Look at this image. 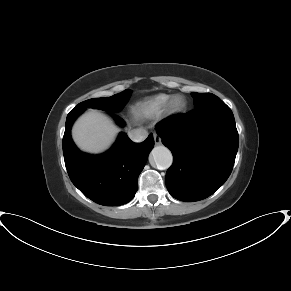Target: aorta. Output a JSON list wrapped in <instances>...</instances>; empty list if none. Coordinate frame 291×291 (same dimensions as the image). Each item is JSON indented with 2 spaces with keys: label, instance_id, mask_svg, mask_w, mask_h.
<instances>
[{
  "label": "aorta",
  "instance_id": "762f6f07",
  "mask_svg": "<svg viewBox=\"0 0 291 291\" xmlns=\"http://www.w3.org/2000/svg\"><path fill=\"white\" fill-rule=\"evenodd\" d=\"M153 162L160 170L168 169L173 162L171 151L165 146H155L151 152Z\"/></svg>",
  "mask_w": 291,
  "mask_h": 291
}]
</instances>
